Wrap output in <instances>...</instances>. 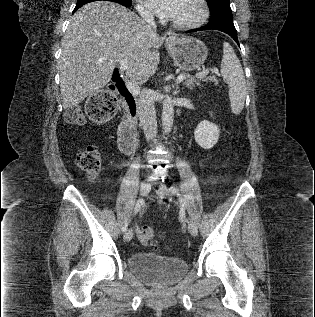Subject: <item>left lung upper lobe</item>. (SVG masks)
Returning a JSON list of instances; mask_svg holds the SVG:
<instances>
[{
  "label": "left lung upper lobe",
  "mask_w": 315,
  "mask_h": 317,
  "mask_svg": "<svg viewBox=\"0 0 315 317\" xmlns=\"http://www.w3.org/2000/svg\"><path fill=\"white\" fill-rule=\"evenodd\" d=\"M211 11L210 24H233L229 0H206Z\"/></svg>",
  "instance_id": "obj_1"
}]
</instances>
